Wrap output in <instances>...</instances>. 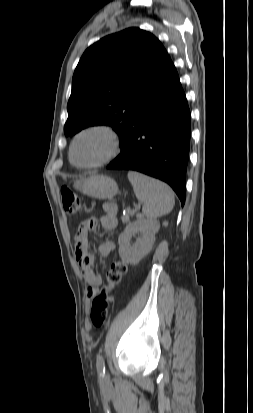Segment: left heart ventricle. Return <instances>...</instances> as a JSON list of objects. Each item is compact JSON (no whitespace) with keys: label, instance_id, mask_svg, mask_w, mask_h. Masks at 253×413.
Returning a JSON list of instances; mask_svg holds the SVG:
<instances>
[{"label":"left heart ventricle","instance_id":"left-heart-ventricle-1","mask_svg":"<svg viewBox=\"0 0 253 413\" xmlns=\"http://www.w3.org/2000/svg\"><path fill=\"white\" fill-rule=\"evenodd\" d=\"M107 138L99 133L82 136L76 143L74 158L80 164H90L99 160L108 150Z\"/></svg>","mask_w":253,"mask_h":413}]
</instances>
